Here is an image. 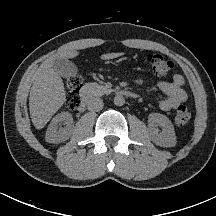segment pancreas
<instances>
[{"label":"pancreas","instance_id":"cf45deb5","mask_svg":"<svg viewBox=\"0 0 216 216\" xmlns=\"http://www.w3.org/2000/svg\"><path fill=\"white\" fill-rule=\"evenodd\" d=\"M86 88L92 96H101L112 92V89H108L107 87L97 83H87Z\"/></svg>","mask_w":216,"mask_h":216}]
</instances>
